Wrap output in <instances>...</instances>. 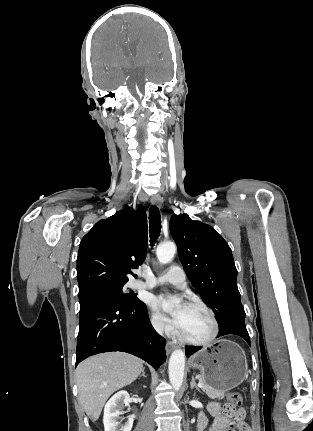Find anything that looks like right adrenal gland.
<instances>
[{"instance_id": "2a0ac1e0", "label": "right adrenal gland", "mask_w": 313, "mask_h": 431, "mask_svg": "<svg viewBox=\"0 0 313 431\" xmlns=\"http://www.w3.org/2000/svg\"><path fill=\"white\" fill-rule=\"evenodd\" d=\"M140 377L147 378V376L145 375V369H144V368H143V370H142V373H141Z\"/></svg>"}]
</instances>
